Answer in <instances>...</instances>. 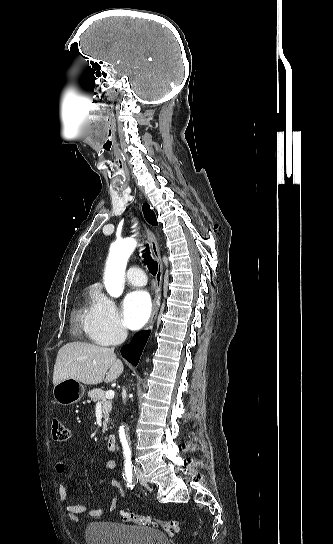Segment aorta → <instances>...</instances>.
Segmentation results:
<instances>
[{
  "mask_svg": "<svg viewBox=\"0 0 333 544\" xmlns=\"http://www.w3.org/2000/svg\"><path fill=\"white\" fill-rule=\"evenodd\" d=\"M136 247V241L126 238L111 246L104 275V284L108 294L119 297L123 293L124 274L127 261ZM123 450L130 454V439L124 430L121 434Z\"/></svg>",
  "mask_w": 333,
  "mask_h": 544,
  "instance_id": "aorta-1",
  "label": "aorta"
}]
</instances>
